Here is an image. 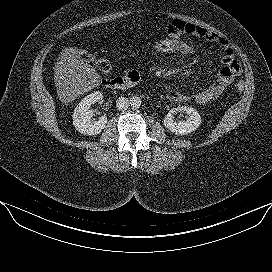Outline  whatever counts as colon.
Wrapping results in <instances>:
<instances>
[{"label":"colon","instance_id":"obj_1","mask_svg":"<svg viewBox=\"0 0 272 272\" xmlns=\"http://www.w3.org/2000/svg\"><path fill=\"white\" fill-rule=\"evenodd\" d=\"M146 48L149 52L164 57H181L190 54L188 46L184 41L170 38L168 36L153 41L152 43L148 44ZM62 53L68 58L91 62L95 64L97 69L102 73H109L111 70V65L107 60L96 59L93 54L86 50L69 47L64 49ZM236 89L239 92L243 91L244 83L238 82L236 84Z\"/></svg>","mask_w":272,"mask_h":272}]
</instances>
